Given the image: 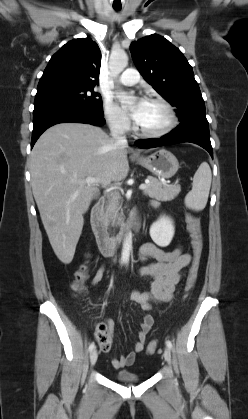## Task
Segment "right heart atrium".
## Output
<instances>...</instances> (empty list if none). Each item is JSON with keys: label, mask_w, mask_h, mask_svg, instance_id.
I'll list each match as a JSON object with an SVG mask.
<instances>
[{"label": "right heart atrium", "mask_w": 248, "mask_h": 419, "mask_svg": "<svg viewBox=\"0 0 248 419\" xmlns=\"http://www.w3.org/2000/svg\"><path fill=\"white\" fill-rule=\"evenodd\" d=\"M103 113L107 124L112 130L121 134L130 130L131 122L129 118L111 98L104 100Z\"/></svg>", "instance_id": "1"}]
</instances>
